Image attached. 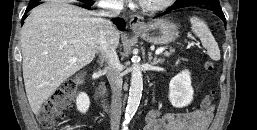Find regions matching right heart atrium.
<instances>
[{
	"mask_svg": "<svg viewBox=\"0 0 257 130\" xmlns=\"http://www.w3.org/2000/svg\"><path fill=\"white\" fill-rule=\"evenodd\" d=\"M107 4L110 6H120L123 4L124 0H106Z\"/></svg>",
	"mask_w": 257,
	"mask_h": 130,
	"instance_id": "d8ad5b80",
	"label": "right heart atrium"
}]
</instances>
